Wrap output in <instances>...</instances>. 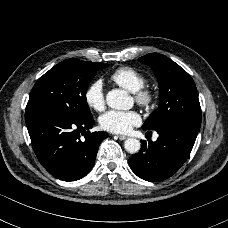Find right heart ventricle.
Wrapping results in <instances>:
<instances>
[{
    "label": "right heart ventricle",
    "mask_w": 228,
    "mask_h": 228,
    "mask_svg": "<svg viewBox=\"0 0 228 228\" xmlns=\"http://www.w3.org/2000/svg\"><path fill=\"white\" fill-rule=\"evenodd\" d=\"M110 78L116 84L132 93L139 90L146 84V78L144 75L129 66L117 68L110 74Z\"/></svg>",
    "instance_id": "1"
}]
</instances>
